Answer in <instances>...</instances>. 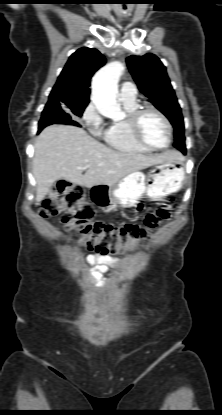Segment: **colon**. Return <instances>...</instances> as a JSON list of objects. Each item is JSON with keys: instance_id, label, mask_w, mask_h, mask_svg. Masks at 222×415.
Here are the masks:
<instances>
[{"instance_id": "colon-1", "label": "colon", "mask_w": 222, "mask_h": 415, "mask_svg": "<svg viewBox=\"0 0 222 415\" xmlns=\"http://www.w3.org/2000/svg\"><path fill=\"white\" fill-rule=\"evenodd\" d=\"M81 186L68 181H59L43 202L41 214L44 217L62 215L64 229L75 230L81 235V243L89 250L102 255L124 254L131 244L147 235L166 221L170 212L166 207L148 213L143 224L113 225L92 220V210L82 202Z\"/></svg>"}]
</instances>
